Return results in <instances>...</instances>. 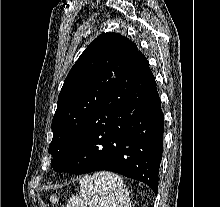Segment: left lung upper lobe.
Returning <instances> with one entry per match:
<instances>
[{"mask_svg":"<svg viewBox=\"0 0 220 207\" xmlns=\"http://www.w3.org/2000/svg\"><path fill=\"white\" fill-rule=\"evenodd\" d=\"M138 48L119 33L94 39L68 73L52 120L53 139L48 152L53 167L97 113Z\"/></svg>","mask_w":220,"mask_h":207,"instance_id":"5c2ea615","label":"left lung upper lobe"}]
</instances>
